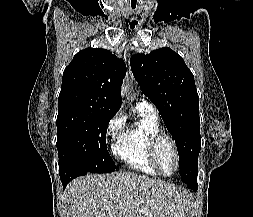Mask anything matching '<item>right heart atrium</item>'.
<instances>
[{
  "label": "right heart atrium",
  "mask_w": 253,
  "mask_h": 217,
  "mask_svg": "<svg viewBox=\"0 0 253 217\" xmlns=\"http://www.w3.org/2000/svg\"><path fill=\"white\" fill-rule=\"evenodd\" d=\"M124 118L121 113H116L109 120L106 127V135L111 139H117L123 132Z\"/></svg>",
  "instance_id": "d8ad5b80"
}]
</instances>
